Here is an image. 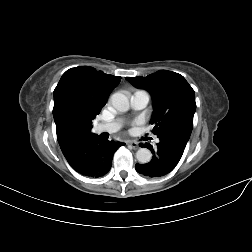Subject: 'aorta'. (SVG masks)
Wrapping results in <instances>:
<instances>
[{
  "label": "aorta",
  "instance_id": "aorta-1",
  "mask_svg": "<svg viewBox=\"0 0 252 252\" xmlns=\"http://www.w3.org/2000/svg\"><path fill=\"white\" fill-rule=\"evenodd\" d=\"M110 103L119 112H126L130 107L129 99L120 92H116L110 97ZM136 158L140 163L146 164L151 161L152 154L149 149L140 148L136 152Z\"/></svg>",
  "mask_w": 252,
  "mask_h": 252
}]
</instances>
